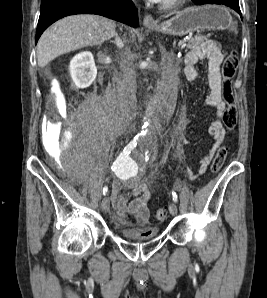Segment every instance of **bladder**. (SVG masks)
Returning a JSON list of instances; mask_svg holds the SVG:
<instances>
[{"mask_svg": "<svg viewBox=\"0 0 267 298\" xmlns=\"http://www.w3.org/2000/svg\"><path fill=\"white\" fill-rule=\"evenodd\" d=\"M153 232L150 235L141 236L133 229L129 228H120L119 234L123 239L129 240V241H147L155 238L158 235V228H152Z\"/></svg>", "mask_w": 267, "mask_h": 298, "instance_id": "31cf9c89", "label": "bladder"}]
</instances>
